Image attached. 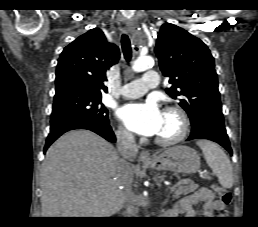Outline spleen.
Returning <instances> with one entry per match:
<instances>
[{
    "label": "spleen",
    "instance_id": "obj_1",
    "mask_svg": "<svg viewBox=\"0 0 258 227\" xmlns=\"http://www.w3.org/2000/svg\"><path fill=\"white\" fill-rule=\"evenodd\" d=\"M202 150L207 164L217 175L223 188L233 186V170L230 159L224 151L214 142L199 140L196 143Z\"/></svg>",
    "mask_w": 258,
    "mask_h": 227
}]
</instances>
